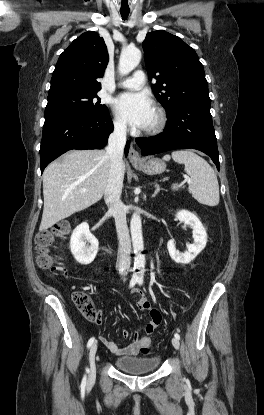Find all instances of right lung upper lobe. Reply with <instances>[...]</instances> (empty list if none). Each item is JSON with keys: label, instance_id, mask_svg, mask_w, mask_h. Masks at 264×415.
Instances as JSON below:
<instances>
[{"label": "right lung upper lobe", "instance_id": "1", "mask_svg": "<svg viewBox=\"0 0 264 415\" xmlns=\"http://www.w3.org/2000/svg\"><path fill=\"white\" fill-rule=\"evenodd\" d=\"M108 60L103 38L93 31L82 34L60 55L48 97L68 91L98 92L101 89L98 79L103 76Z\"/></svg>", "mask_w": 264, "mask_h": 415}]
</instances>
